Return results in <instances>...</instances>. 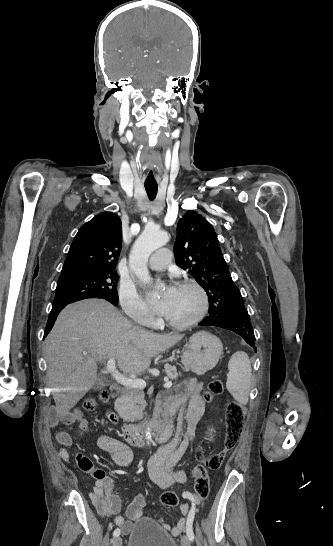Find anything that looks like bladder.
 I'll return each instance as SVG.
<instances>
[{
	"instance_id": "bladder-1",
	"label": "bladder",
	"mask_w": 333,
	"mask_h": 546,
	"mask_svg": "<svg viewBox=\"0 0 333 546\" xmlns=\"http://www.w3.org/2000/svg\"><path fill=\"white\" fill-rule=\"evenodd\" d=\"M127 546H178L176 540L153 519L142 518L131 527Z\"/></svg>"
}]
</instances>
